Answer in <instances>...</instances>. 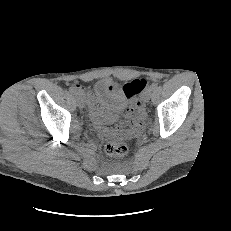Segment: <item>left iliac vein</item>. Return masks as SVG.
<instances>
[{"instance_id":"obj_1","label":"left iliac vein","mask_w":231,"mask_h":231,"mask_svg":"<svg viewBox=\"0 0 231 231\" xmlns=\"http://www.w3.org/2000/svg\"><path fill=\"white\" fill-rule=\"evenodd\" d=\"M151 95H152V89L148 87L143 93L144 102H148L151 98Z\"/></svg>"}]
</instances>
